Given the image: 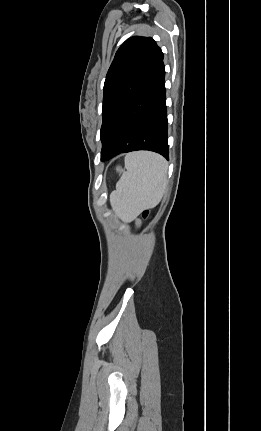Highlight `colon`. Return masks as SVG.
<instances>
[{
  "mask_svg": "<svg viewBox=\"0 0 261 431\" xmlns=\"http://www.w3.org/2000/svg\"><path fill=\"white\" fill-rule=\"evenodd\" d=\"M148 216V212H144V217H147Z\"/></svg>",
  "mask_w": 261,
  "mask_h": 431,
  "instance_id": "1",
  "label": "colon"
}]
</instances>
